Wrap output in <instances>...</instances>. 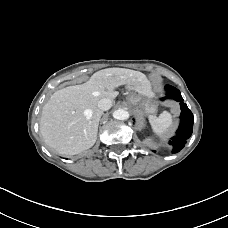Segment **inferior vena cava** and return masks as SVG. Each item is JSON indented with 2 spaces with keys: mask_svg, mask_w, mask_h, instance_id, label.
Returning <instances> with one entry per match:
<instances>
[{
  "mask_svg": "<svg viewBox=\"0 0 228 228\" xmlns=\"http://www.w3.org/2000/svg\"><path fill=\"white\" fill-rule=\"evenodd\" d=\"M111 106H112V100L109 98H103L98 102V108L101 111H107L111 108Z\"/></svg>",
  "mask_w": 228,
  "mask_h": 228,
  "instance_id": "602c4592",
  "label": "inferior vena cava"
}]
</instances>
